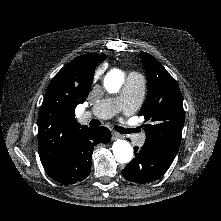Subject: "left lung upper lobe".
Returning <instances> with one entry per match:
<instances>
[{"label":"left lung upper lobe","instance_id":"5c2ea615","mask_svg":"<svg viewBox=\"0 0 221 221\" xmlns=\"http://www.w3.org/2000/svg\"><path fill=\"white\" fill-rule=\"evenodd\" d=\"M146 69L148 93L139 114L150 124L144 126L145 144L179 147L185 113L182 94L175 79L150 54L140 52Z\"/></svg>","mask_w":221,"mask_h":221}]
</instances>
